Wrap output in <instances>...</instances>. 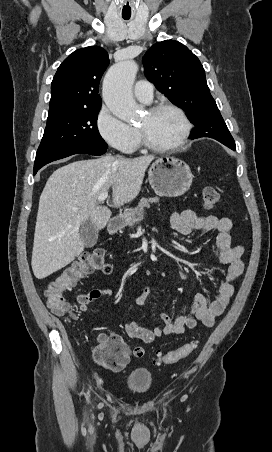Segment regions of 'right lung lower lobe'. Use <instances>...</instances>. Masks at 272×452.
<instances>
[{
  "instance_id": "1",
  "label": "right lung lower lobe",
  "mask_w": 272,
  "mask_h": 452,
  "mask_svg": "<svg viewBox=\"0 0 272 452\" xmlns=\"http://www.w3.org/2000/svg\"><path fill=\"white\" fill-rule=\"evenodd\" d=\"M105 152H106V149H98L97 150V149L87 148L84 146H75V147H70V148H67L64 150H60V151L38 153V154H36L33 174L35 175L41 167H43L44 165H46L50 162L71 156L73 154L84 153V154L100 156V155L104 154Z\"/></svg>"
}]
</instances>
